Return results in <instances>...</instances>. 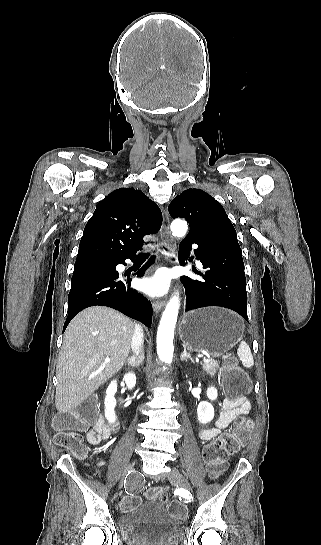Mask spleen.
I'll return each instance as SVG.
<instances>
[{
	"label": "spleen",
	"mask_w": 321,
	"mask_h": 545,
	"mask_svg": "<svg viewBox=\"0 0 321 545\" xmlns=\"http://www.w3.org/2000/svg\"><path fill=\"white\" fill-rule=\"evenodd\" d=\"M237 355L240 361H242L243 367H247V369H249V367H253L254 361H253L252 353L250 351L249 345H247L245 341H241L237 349Z\"/></svg>",
	"instance_id": "spleen-1"
}]
</instances>
